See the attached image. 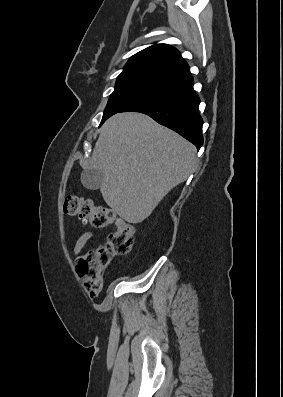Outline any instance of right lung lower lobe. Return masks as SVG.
<instances>
[{"label": "right lung lower lobe", "mask_w": 283, "mask_h": 397, "mask_svg": "<svg viewBox=\"0 0 283 397\" xmlns=\"http://www.w3.org/2000/svg\"><path fill=\"white\" fill-rule=\"evenodd\" d=\"M200 99L189 76L161 88L128 105L120 112L147 114L192 142L199 150L203 144L202 124L198 106Z\"/></svg>", "instance_id": "obj_1"}]
</instances>
